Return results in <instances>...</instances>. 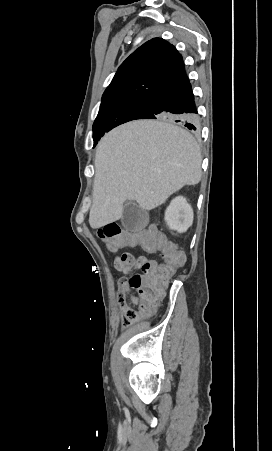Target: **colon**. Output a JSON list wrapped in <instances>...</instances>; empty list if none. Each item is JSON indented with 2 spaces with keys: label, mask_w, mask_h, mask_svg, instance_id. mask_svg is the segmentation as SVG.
Here are the masks:
<instances>
[{
  "label": "colon",
  "mask_w": 272,
  "mask_h": 451,
  "mask_svg": "<svg viewBox=\"0 0 272 451\" xmlns=\"http://www.w3.org/2000/svg\"><path fill=\"white\" fill-rule=\"evenodd\" d=\"M97 238L106 243L111 250L147 249L148 256H161L162 249L166 256L164 264L157 268L155 258L149 261L135 257L130 252H121L113 264L121 270H139L128 280V289H138L135 294V303H142L143 310H154L155 306L163 300L162 294L171 281L173 271L182 269L181 260H186V251L182 247H171V240H167L161 230H126L116 222H109L97 229ZM137 317L134 309L124 312V324L129 326Z\"/></svg>",
  "instance_id": "obj_1"
}]
</instances>
